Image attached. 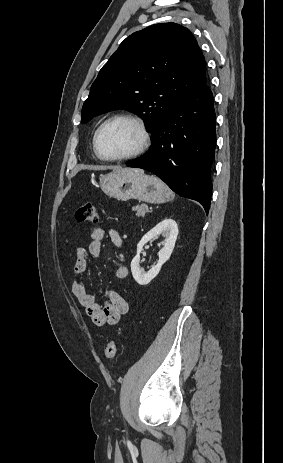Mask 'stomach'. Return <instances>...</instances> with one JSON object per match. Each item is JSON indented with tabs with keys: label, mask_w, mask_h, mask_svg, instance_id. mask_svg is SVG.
<instances>
[{
	"label": "stomach",
	"mask_w": 283,
	"mask_h": 463,
	"mask_svg": "<svg viewBox=\"0 0 283 463\" xmlns=\"http://www.w3.org/2000/svg\"><path fill=\"white\" fill-rule=\"evenodd\" d=\"M100 186L106 195L117 200L163 203L173 197L172 191L160 179L135 169L102 175Z\"/></svg>",
	"instance_id": "stomach-1"
}]
</instances>
